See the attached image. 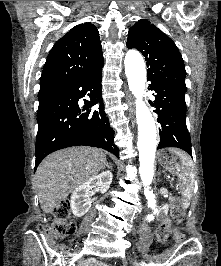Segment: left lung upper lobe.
Segmentation results:
<instances>
[{"label":"left lung upper lobe","instance_id":"left-lung-upper-lobe-1","mask_svg":"<svg viewBox=\"0 0 221 266\" xmlns=\"http://www.w3.org/2000/svg\"><path fill=\"white\" fill-rule=\"evenodd\" d=\"M127 47L140 51L147 62L148 80H157L186 91V70L174 42L148 20L141 19L129 30Z\"/></svg>","mask_w":221,"mask_h":266}]
</instances>
